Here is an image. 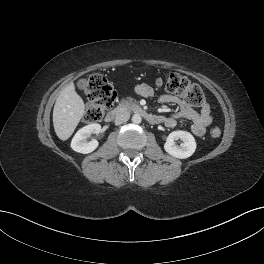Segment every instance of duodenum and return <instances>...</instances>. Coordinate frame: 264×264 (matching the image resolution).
<instances>
[{
  "instance_id": "1",
  "label": "duodenum",
  "mask_w": 264,
  "mask_h": 264,
  "mask_svg": "<svg viewBox=\"0 0 264 264\" xmlns=\"http://www.w3.org/2000/svg\"><path fill=\"white\" fill-rule=\"evenodd\" d=\"M126 111H132L141 117H143L145 120L150 122L151 124H160L164 122V117L160 115H155L147 110H145L143 107L137 105V104H124L122 106L116 107L115 109L111 110L110 112L107 113L105 116V121L106 122H112L114 119L119 117L121 114H123Z\"/></svg>"
}]
</instances>
